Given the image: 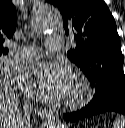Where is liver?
Here are the masks:
<instances>
[{"instance_id": "6515ba94", "label": "liver", "mask_w": 125, "mask_h": 128, "mask_svg": "<svg viewBox=\"0 0 125 128\" xmlns=\"http://www.w3.org/2000/svg\"><path fill=\"white\" fill-rule=\"evenodd\" d=\"M17 88L0 68V128H20Z\"/></svg>"}]
</instances>
